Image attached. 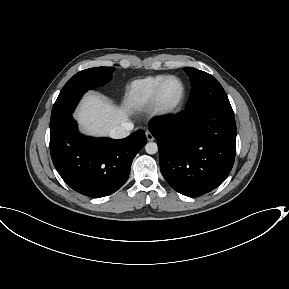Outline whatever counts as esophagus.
Wrapping results in <instances>:
<instances>
[{"instance_id":"obj_1","label":"esophagus","mask_w":289,"mask_h":289,"mask_svg":"<svg viewBox=\"0 0 289 289\" xmlns=\"http://www.w3.org/2000/svg\"><path fill=\"white\" fill-rule=\"evenodd\" d=\"M145 135H146V138H147L148 141H153L154 140L153 135L149 131H146Z\"/></svg>"}]
</instances>
